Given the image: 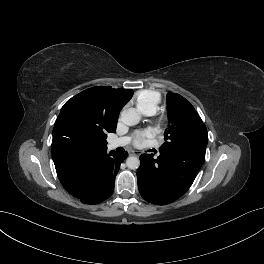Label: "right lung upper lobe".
<instances>
[{
    "label": "right lung upper lobe",
    "instance_id": "obj_1",
    "mask_svg": "<svg viewBox=\"0 0 264 264\" xmlns=\"http://www.w3.org/2000/svg\"><path fill=\"white\" fill-rule=\"evenodd\" d=\"M132 93V89L98 86L87 89L76 96L88 100L92 121L102 127L105 132L111 133L116 131L120 110L130 99ZM51 150L58 178L62 184H67L83 163L105 152L107 147L106 145L75 146L56 129H53Z\"/></svg>",
    "mask_w": 264,
    "mask_h": 264
}]
</instances>
